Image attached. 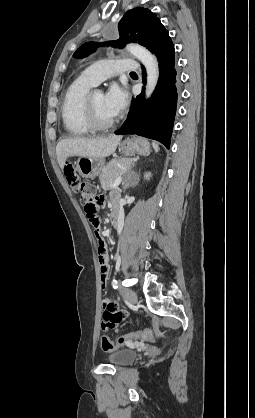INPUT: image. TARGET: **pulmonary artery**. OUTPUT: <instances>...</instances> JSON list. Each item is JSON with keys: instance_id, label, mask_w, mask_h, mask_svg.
I'll list each match as a JSON object with an SVG mask.
<instances>
[{"instance_id": "1", "label": "pulmonary artery", "mask_w": 255, "mask_h": 418, "mask_svg": "<svg viewBox=\"0 0 255 418\" xmlns=\"http://www.w3.org/2000/svg\"><path fill=\"white\" fill-rule=\"evenodd\" d=\"M137 68V62L131 59L103 60L87 67L82 76L94 85H98L115 74L135 71Z\"/></svg>"}]
</instances>
